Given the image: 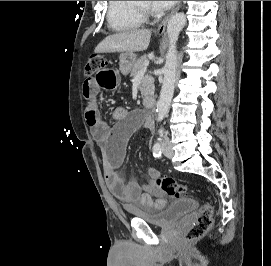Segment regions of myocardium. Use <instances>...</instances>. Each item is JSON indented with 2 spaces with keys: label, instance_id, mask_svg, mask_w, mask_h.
Wrapping results in <instances>:
<instances>
[{
  "label": "myocardium",
  "instance_id": "myocardium-1",
  "mask_svg": "<svg viewBox=\"0 0 271 266\" xmlns=\"http://www.w3.org/2000/svg\"><path fill=\"white\" fill-rule=\"evenodd\" d=\"M133 8L139 13L141 14L143 17H146L149 14V8H143V7H139L137 5H133Z\"/></svg>",
  "mask_w": 271,
  "mask_h": 266
}]
</instances>
